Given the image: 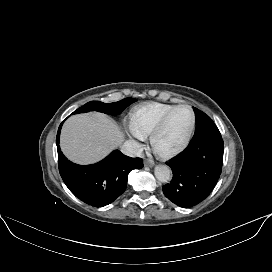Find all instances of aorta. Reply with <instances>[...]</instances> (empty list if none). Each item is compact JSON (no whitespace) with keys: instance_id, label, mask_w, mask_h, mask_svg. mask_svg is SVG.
<instances>
[{"instance_id":"aorta-1","label":"aorta","mask_w":272,"mask_h":272,"mask_svg":"<svg viewBox=\"0 0 272 272\" xmlns=\"http://www.w3.org/2000/svg\"><path fill=\"white\" fill-rule=\"evenodd\" d=\"M154 174L158 181L168 182L171 178V169L166 165H157Z\"/></svg>"}]
</instances>
